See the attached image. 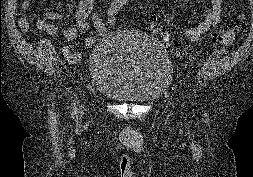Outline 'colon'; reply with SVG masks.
Instances as JSON below:
<instances>
[{"label":"colon","instance_id":"1","mask_svg":"<svg viewBox=\"0 0 253 177\" xmlns=\"http://www.w3.org/2000/svg\"><path fill=\"white\" fill-rule=\"evenodd\" d=\"M129 3L130 0H110L108 2L103 15V23L107 34H109L115 27L118 18L129 5ZM244 21L245 15L241 14L231 28L223 29L220 32L214 34L213 43L223 46L232 44L235 41L237 35L241 32ZM150 29L157 35L161 36L168 45L175 43L171 35L157 23L152 22L150 24Z\"/></svg>","mask_w":253,"mask_h":177}]
</instances>
